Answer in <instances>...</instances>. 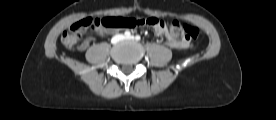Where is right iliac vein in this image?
<instances>
[{
  "label": "right iliac vein",
  "instance_id": "1",
  "mask_svg": "<svg viewBox=\"0 0 276 120\" xmlns=\"http://www.w3.org/2000/svg\"><path fill=\"white\" fill-rule=\"evenodd\" d=\"M123 37L121 35L117 36L115 39L116 40H121Z\"/></svg>",
  "mask_w": 276,
  "mask_h": 120
}]
</instances>
